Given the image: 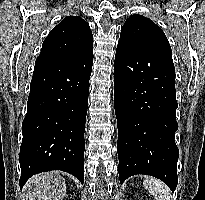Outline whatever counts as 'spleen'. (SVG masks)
I'll list each match as a JSON object with an SVG mask.
<instances>
[{"label":"spleen","mask_w":205,"mask_h":200,"mask_svg":"<svg viewBox=\"0 0 205 200\" xmlns=\"http://www.w3.org/2000/svg\"><path fill=\"white\" fill-rule=\"evenodd\" d=\"M143 184L145 189L153 195L155 200H170V189L161 180L154 177H147Z\"/></svg>","instance_id":"1"}]
</instances>
